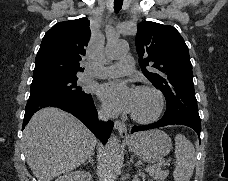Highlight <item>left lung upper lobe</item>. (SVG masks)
<instances>
[{
  "label": "left lung upper lobe",
  "mask_w": 228,
  "mask_h": 181,
  "mask_svg": "<svg viewBox=\"0 0 228 181\" xmlns=\"http://www.w3.org/2000/svg\"><path fill=\"white\" fill-rule=\"evenodd\" d=\"M135 42L142 73L167 101L160 120L201 125L189 51L179 32L170 25L142 22Z\"/></svg>",
  "instance_id": "1"
}]
</instances>
